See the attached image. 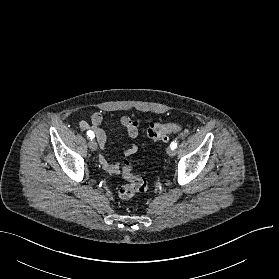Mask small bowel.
<instances>
[{
    "mask_svg": "<svg viewBox=\"0 0 279 279\" xmlns=\"http://www.w3.org/2000/svg\"><path fill=\"white\" fill-rule=\"evenodd\" d=\"M103 122V116L100 112H94L91 116L90 123L81 121L79 126L82 130L92 131L96 136L100 149L104 151L107 147V136L104 130L101 128ZM121 125L125 128L127 135L134 139L138 136L140 120L132 119L129 116H123L120 119ZM137 146L131 145L123 152L124 156L128 157L136 153ZM99 163L102 168L109 174H118L120 172V166L118 163L110 162L103 154L99 156Z\"/></svg>",
    "mask_w": 279,
    "mask_h": 279,
    "instance_id": "1",
    "label": "small bowel"
}]
</instances>
